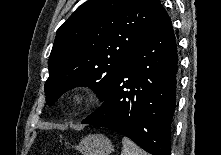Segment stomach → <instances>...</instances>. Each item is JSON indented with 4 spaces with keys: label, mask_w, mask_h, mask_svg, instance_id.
Masks as SVG:
<instances>
[{
    "label": "stomach",
    "mask_w": 221,
    "mask_h": 155,
    "mask_svg": "<svg viewBox=\"0 0 221 155\" xmlns=\"http://www.w3.org/2000/svg\"><path fill=\"white\" fill-rule=\"evenodd\" d=\"M82 155H110L114 151L112 142L102 134H90L75 146Z\"/></svg>",
    "instance_id": "1"
}]
</instances>
